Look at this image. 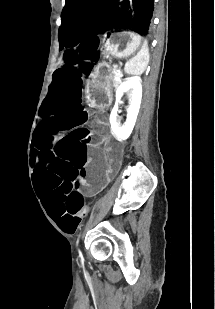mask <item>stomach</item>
Returning a JSON list of instances; mask_svg holds the SVG:
<instances>
[{
  "label": "stomach",
  "mask_w": 215,
  "mask_h": 309,
  "mask_svg": "<svg viewBox=\"0 0 215 309\" xmlns=\"http://www.w3.org/2000/svg\"><path fill=\"white\" fill-rule=\"evenodd\" d=\"M104 53L115 59H125L142 48V37L130 31H116L102 38ZM111 64L100 63L87 81L86 89L91 99L104 101L112 83Z\"/></svg>",
  "instance_id": "1"
}]
</instances>
